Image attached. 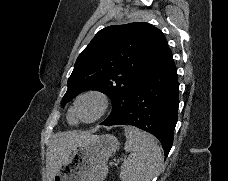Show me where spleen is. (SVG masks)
Returning <instances> with one entry per match:
<instances>
[{
  "label": "spleen",
  "mask_w": 228,
  "mask_h": 181,
  "mask_svg": "<svg viewBox=\"0 0 228 181\" xmlns=\"http://www.w3.org/2000/svg\"><path fill=\"white\" fill-rule=\"evenodd\" d=\"M125 157L120 169V181H152L162 165V155L155 137L136 127H125Z\"/></svg>",
  "instance_id": "obj_1"
}]
</instances>
